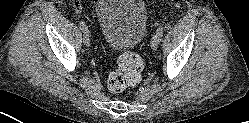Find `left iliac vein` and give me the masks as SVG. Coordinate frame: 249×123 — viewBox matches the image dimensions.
Wrapping results in <instances>:
<instances>
[{"instance_id": "1", "label": "left iliac vein", "mask_w": 249, "mask_h": 123, "mask_svg": "<svg viewBox=\"0 0 249 123\" xmlns=\"http://www.w3.org/2000/svg\"><path fill=\"white\" fill-rule=\"evenodd\" d=\"M161 42V36L156 33L151 39V48L156 50Z\"/></svg>"}]
</instances>
